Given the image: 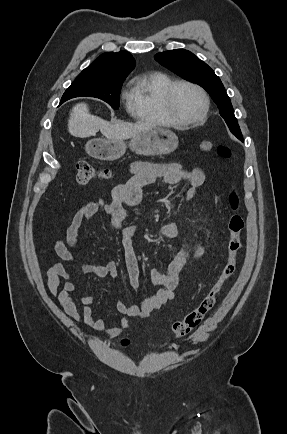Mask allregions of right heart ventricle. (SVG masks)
Here are the masks:
<instances>
[{"label": "right heart ventricle", "mask_w": 287, "mask_h": 434, "mask_svg": "<svg viewBox=\"0 0 287 434\" xmlns=\"http://www.w3.org/2000/svg\"><path fill=\"white\" fill-rule=\"evenodd\" d=\"M173 79L163 72H150L136 76L132 80L128 110L136 119L161 126L175 123L167 115L163 97Z\"/></svg>", "instance_id": "obj_1"}]
</instances>
